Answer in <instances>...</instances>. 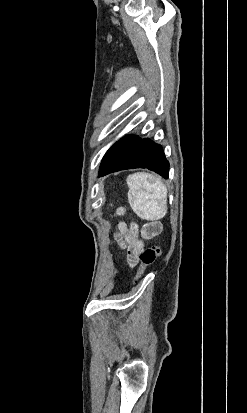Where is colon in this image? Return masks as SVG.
<instances>
[{
  "label": "colon",
  "mask_w": 247,
  "mask_h": 413,
  "mask_svg": "<svg viewBox=\"0 0 247 413\" xmlns=\"http://www.w3.org/2000/svg\"><path fill=\"white\" fill-rule=\"evenodd\" d=\"M162 252V246H153L142 250V257H140L142 264L138 266V271L142 273L146 272L148 268H151L154 265V261L162 254ZM139 272L137 273L136 278L139 276ZM136 278L134 282H136Z\"/></svg>",
  "instance_id": "1"
}]
</instances>
